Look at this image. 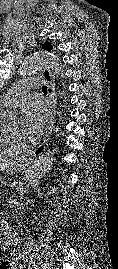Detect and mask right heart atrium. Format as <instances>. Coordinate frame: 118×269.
Here are the masks:
<instances>
[{
	"mask_svg": "<svg viewBox=\"0 0 118 269\" xmlns=\"http://www.w3.org/2000/svg\"><path fill=\"white\" fill-rule=\"evenodd\" d=\"M5 137L8 138L14 145L18 146L19 148L24 146L26 143V139L20 133H2Z\"/></svg>",
	"mask_w": 118,
	"mask_h": 269,
	"instance_id": "d8ad5b80",
	"label": "right heart atrium"
}]
</instances>
